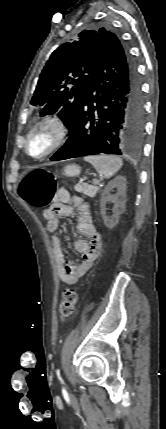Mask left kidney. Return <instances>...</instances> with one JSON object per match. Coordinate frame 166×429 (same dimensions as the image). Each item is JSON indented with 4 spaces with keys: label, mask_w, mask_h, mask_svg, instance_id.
<instances>
[{
    "label": "left kidney",
    "mask_w": 166,
    "mask_h": 429,
    "mask_svg": "<svg viewBox=\"0 0 166 429\" xmlns=\"http://www.w3.org/2000/svg\"><path fill=\"white\" fill-rule=\"evenodd\" d=\"M117 189L115 195H111L110 192L113 189ZM113 202L114 207L112 209L113 215L112 217H108L106 214V203ZM125 203H126V179L123 176H117L113 180H111L104 191L102 192L100 207H101V215L104 221V225L112 229L114 228L118 222L120 215L125 212Z\"/></svg>",
    "instance_id": "left-kidney-1"
}]
</instances>
